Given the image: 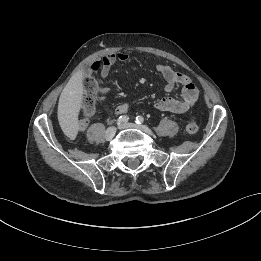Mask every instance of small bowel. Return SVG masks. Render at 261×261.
Masks as SVG:
<instances>
[{
	"instance_id": "obj_1",
	"label": "small bowel",
	"mask_w": 261,
	"mask_h": 261,
	"mask_svg": "<svg viewBox=\"0 0 261 261\" xmlns=\"http://www.w3.org/2000/svg\"><path fill=\"white\" fill-rule=\"evenodd\" d=\"M129 56L125 52L111 53L102 58L99 63V74L101 78H106L110 73L111 67L117 62H127ZM157 71L162 75L165 80L164 91L171 93L176 86H181V96L179 99L173 97H163L157 100L154 104L155 109L163 112L184 113L195 105L198 99L199 91L192 80L185 74L173 70L170 66L158 63L156 65ZM108 88L100 87L99 94L106 95ZM129 110V105L123 103L117 106L114 114L119 116L126 114ZM88 123L80 126V130L86 129Z\"/></svg>"
}]
</instances>
